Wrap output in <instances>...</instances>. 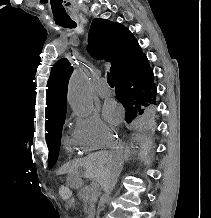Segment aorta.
Returning a JSON list of instances; mask_svg holds the SVG:
<instances>
[{"mask_svg":"<svg viewBox=\"0 0 211 218\" xmlns=\"http://www.w3.org/2000/svg\"><path fill=\"white\" fill-rule=\"evenodd\" d=\"M68 101L79 116H87L93 110L90 84L86 74L80 69H76L69 80Z\"/></svg>","mask_w":211,"mask_h":218,"instance_id":"762f6f07","label":"aorta"}]
</instances>
